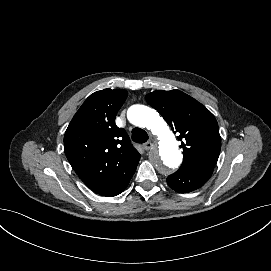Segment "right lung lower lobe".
I'll return each instance as SVG.
<instances>
[{"mask_svg": "<svg viewBox=\"0 0 271 271\" xmlns=\"http://www.w3.org/2000/svg\"><path fill=\"white\" fill-rule=\"evenodd\" d=\"M136 167L129 175H126V177L124 178V181H122L120 185L113 187L112 189H110L109 191L105 192L102 195L107 196V197H111V196H116V195L120 194L121 192H123L125 190V188L127 187V185L129 184V181L132 178V176L136 170Z\"/></svg>", "mask_w": 271, "mask_h": 271, "instance_id": "1", "label": "right lung lower lobe"}]
</instances>
